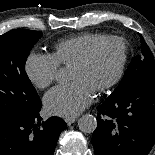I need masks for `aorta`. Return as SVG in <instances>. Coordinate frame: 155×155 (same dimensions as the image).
I'll return each instance as SVG.
<instances>
[{
    "label": "aorta",
    "instance_id": "1",
    "mask_svg": "<svg viewBox=\"0 0 155 155\" xmlns=\"http://www.w3.org/2000/svg\"><path fill=\"white\" fill-rule=\"evenodd\" d=\"M78 127L84 132L91 133L97 127V120L93 115L85 114L79 118Z\"/></svg>",
    "mask_w": 155,
    "mask_h": 155
}]
</instances>
